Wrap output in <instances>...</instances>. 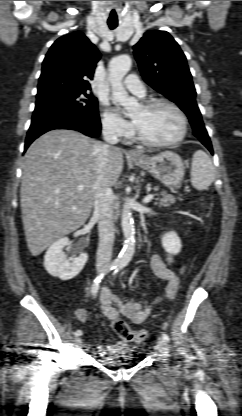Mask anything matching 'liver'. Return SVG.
<instances>
[{"mask_svg": "<svg viewBox=\"0 0 242 416\" xmlns=\"http://www.w3.org/2000/svg\"><path fill=\"white\" fill-rule=\"evenodd\" d=\"M100 142L74 130L49 131L28 148L20 191L22 220L33 256L81 227L94 205ZM123 170V154L112 150L106 169L110 187ZM82 185L83 190L78 186Z\"/></svg>", "mask_w": 242, "mask_h": 416, "instance_id": "6515ba94", "label": "liver"}]
</instances>
